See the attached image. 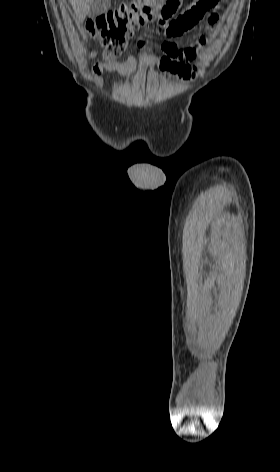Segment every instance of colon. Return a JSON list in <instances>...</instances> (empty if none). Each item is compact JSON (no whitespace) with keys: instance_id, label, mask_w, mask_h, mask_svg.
<instances>
[{"instance_id":"obj_1","label":"colon","mask_w":280,"mask_h":472,"mask_svg":"<svg viewBox=\"0 0 280 472\" xmlns=\"http://www.w3.org/2000/svg\"><path fill=\"white\" fill-rule=\"evenodd\" d=\"M183 0H133L123 3L114 10L90 20L86 24L88 35L97 40L111 58L120 55L136 29L152 22L169 20L181 7ZM219 0H204L199 6L212 10ZM212 14L209 22H215Z\"/></svg>"}]
</instances>
